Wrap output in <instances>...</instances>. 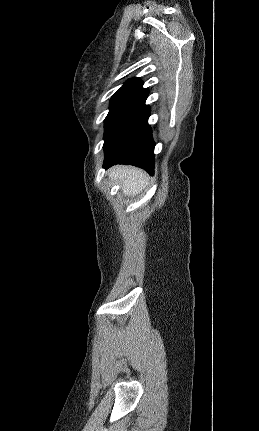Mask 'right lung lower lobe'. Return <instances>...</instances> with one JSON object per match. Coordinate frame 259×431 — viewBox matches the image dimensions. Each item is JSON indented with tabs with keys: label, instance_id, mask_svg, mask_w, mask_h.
I'll return each mask as SVG.
<instances>
[{
	"label": "right lung lower lobe",
	"instance_id": "1",
	"mask_svg": "<svg viewBox=\"0 0 259 431\" xmlns=\"http://www.w3.org/2000/svg\"><path fill=\"white\" fill-rule=\"evenodd\" d=\"M150 109L145 100L138 104L106 138L104 168L115 164L134 165L154 172V146L148 124Z\"/></svg>",
	"mask_w": 259,
	"mask_h": 431
}]
</instances>
